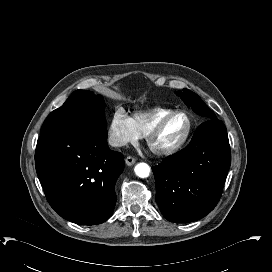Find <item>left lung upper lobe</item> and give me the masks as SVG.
<instances>
[{
    "mask_svg": "<svg viewBox=\"0 0 272 272\" xmlns=\"http://www.w3.org/2000/svg\"><path fill=\"white\" fill-rule=\"evenodd\" d=\"M176 94L181 97L184 103L193 109L196 113L205 116L207 119H216L214 112L202 101L194 92L183 89V92L177 91Z\"/></svg>",
    "mask_w": 272,
    "mask_h": 272,
    "instance_id": "obj_1",
    "label": "left lung upper lobe"
}]
</instances>
